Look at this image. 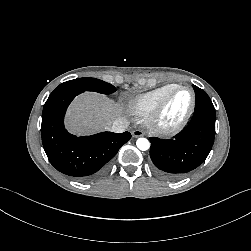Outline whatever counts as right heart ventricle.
Segmentation results:
<instances>
[{
    "instance_id": "right-heart-ventricle-1",
    "label": "right heart ventricle",
    "mask_w": 251,
    "mask_h": 251,
    "mask_svg": "<svg viewBox=\"0 0 251 251\" xmlns=\"http://www.w3.org/2000/svg\"><path fill=\"white\" fill-rule=\"evenodd\" d=\"M176 84H168L130 99L126 106L130 114L138 118L147 117L158 105L164 95Z\"/></svg>"
}]
</instances>
